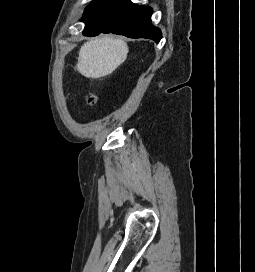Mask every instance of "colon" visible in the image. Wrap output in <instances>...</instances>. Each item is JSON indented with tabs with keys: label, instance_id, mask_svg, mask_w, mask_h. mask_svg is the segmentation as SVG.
Listing matches in <instances>:
<instances>
[{
	"label": "colon",
	"instance_id": "obj_1",
	"mask_svg": "<svg viewBox=\"0 0 255 272\" xmlns=\"http://www.w3.org/2000/svg\"><path fill=\"white\" fill-rule=\"evenodd\" d=\"M88 104L94 105L96 103V96L93 93H89L86 97Z\"/></svg>",
	"mask_w": 255,
	"mask_h": 272
}]
</instances>
